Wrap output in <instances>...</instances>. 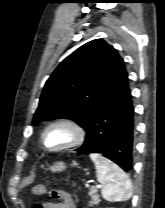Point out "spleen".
<instances>
[{
  "instance_id": "obj_1",
  "label": "spleen",
  "mask_w": 165,
  "mask_h": 208,
  "mask_svg": "<svg viewBox=\"0 0 165 208\" xmlns=\"http://www.w3.org/2000/svg\"><path fill=\"white\" fill-rule=\"evenodd\" d=\"M96 167L97 180L103 185L102 196L107 201H127L133 194L132 184L124 171L100 154H90Z\"/></svg>"
}]
</instances>
